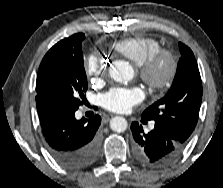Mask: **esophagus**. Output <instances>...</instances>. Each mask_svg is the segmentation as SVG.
I'll use <instances>...</instances> for the list:
<instances>
[{
  "label": "esophagus",
  "instance_id": "34e87169",
  "mask_svg": "<svg viewBox=\"0 0 223 188\" xmlns=\"http://www.w3.org/2000/svg\"><path fill=\"white\" fill-rule=\"evenodd\" d=\"M112 117H113L112 115L105 116V117H104V120H105V121H109Z\"/></svg>",
  "mask_w": 223,
  "mask_h": 188
}]
</instances>
